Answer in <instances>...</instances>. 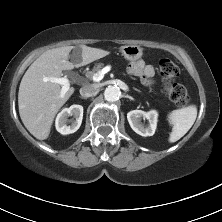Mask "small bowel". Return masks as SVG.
Returning <instances> with one entry per match:
<instances>
[{"label":"small bowel","instance_id":"1","mask_svg":"<svg viewBox=\"0 0 222 222\" xmlns=\"http://www.w3.org/2000/svg\"><path fill=\"white\" fill-rule=\"evenodd\" d=\"M128 71L130 74L138 76L144 85H154L153 77L155 74V69L152 65L146 64L143 60L132 63L129 66Z\"/></svg>","mask_w":222,"mask_h":222}]
</instances>
